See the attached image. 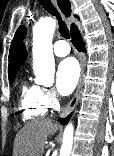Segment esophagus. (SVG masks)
I'll list each match as a JSON object with an SVG mask.
<instances>
[{
  "label": "esophagus",
  "instance_id": "obj_1",
  "mask_svg": "<svg viewBox=\"0 0 114 156\" xmlns=\"http://www.w3.org/2000/svg\"><path fill=\"white\" fill-rule=\"evenodd\" d=\"M52 2L58 9L57 1L52 0ZM63 18H64V16H63ZM79 62H80V78L78 81V85H77V88H76L73 98L62 110V112L60 114L61 117L67 116L75 108V106L77 105L79 98H80V92H81L82 85H83V77H84V71H85V56L82 52L79 53Z\"/></svg>",
  "mask_w": 114,
  "mask_h": 156
}]
</instances>
